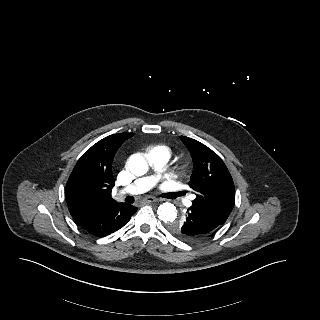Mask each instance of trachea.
I'll return each mask as SVG.
<instances>
[{
	"mask_svg": "<svg viewBox=\"0 0 320 320\" xmlns=\"http://www.w3.org/2000/svg\"><path fill=\"white\" fill-rule=\"evenodd\" d=\"M180 195H181L180 193H176V194H174V198L177 197V196H180ZM125 201L128 202V203H133L134 199H133L132 196H128V197H126Z\"/></svg>",
	"mask_w": 320,
	"mask_h": 320,
	"instance_id": "1",
	"label": "trachea"
}]
</instances>
